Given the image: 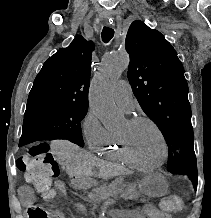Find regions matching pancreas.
<instances>
[{
	"label": "pancreas",
	"mask_w": 211,
	"mask_h": 218,
	"mask_svg": "<svg viewBox=\"0 0 211 218\" xmlns=\"http://www.w3.org/2000/svg\"><path fill=\"white\" fill-rule=\"evenodd\" d=\"M117 188H113V186H98V190H94V195L92 196L93 200H103V195H120L122 194L121 198H125V200H137L140 198V192H138L136 186H129L127 190H123V192H118V187H123L121 184H116Z\"/></svg>",
	"instance_id": "pancreas-1"
}]
</instances>
